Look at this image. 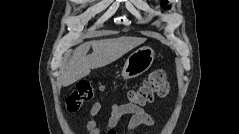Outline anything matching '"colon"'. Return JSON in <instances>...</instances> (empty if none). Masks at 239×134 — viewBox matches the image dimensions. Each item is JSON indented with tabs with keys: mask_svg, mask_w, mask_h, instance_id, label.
Segmentation results:
<instances>
[{
	"mask_svg": "<svg viewBox=\"0 0 239 134\" xmlns=\"http://www.w3.org/2000/svg\"><path fill=\"white\" fill-rule=\"evenodd\" d=\"M169 91V83L162 70L152 71L143 81L138 90L129 95L131 104L143 106L151 103L155 95L164 97ZM96 87L87 79L78 82L76 89L66 100V109L70 113L79 111L96 94Z\"/></svg>",
	"mask_w": 239,
	"mask_h": 134,
	"instance_id": "1",
	"label": "colon"
}]
</instances>
